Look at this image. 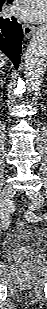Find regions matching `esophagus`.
Segmentation results:
<instances>
[{
    "mask_svg": "<svg viewBox=\"0 0 47 309\" xmlns=\"http://www.w3.org/2000/svg\"><path fill=\"white\" fill-rule=\"evenodd\" d=\"M35 31V27L29 24L23 25V32L26 38H30Z\"/></svg>",
    "mask_w": 47,
    "mask_h": 309,
    "instance_id": "1",
    "label": "esophagus"
}]
</instances>
